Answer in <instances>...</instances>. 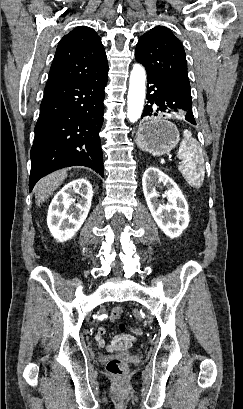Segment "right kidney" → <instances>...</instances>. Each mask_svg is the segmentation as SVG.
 Segmentation results:
<instances>
[{"instance_id":"ca27d5eb","label":"right kidney","mask_w":243,"mask_h":409,"mask_svg":"<svg viewBox=\"0 0 243 409\" xmlns=\"http://www.w3.org/2000/svg\"><path fill=\"white\" fill-rule=\"evenodd\" d=\"M92 196V185L84 178L69 182L54 196L47 225L55 239L65 242L76 234L88 216Z\"/></svg>"}]
</instances>
